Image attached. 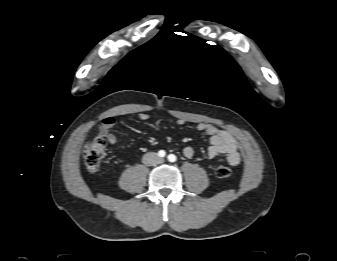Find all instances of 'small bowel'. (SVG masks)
Masks as SVG:
<instances>
[{"label":"small bowel","instance_id":"c3829d8e","mask_svg":"<svg viewBox=\"0 0 337 261\" xmlns=\"http://www.w3.org/2000/svg\"><path fill=\"white\" fill-rule=\"evenodd\" d=\"M138 118L141 121H147L149 120L150 116L147 113H140L138 114ZM177 123L179 125H183L185 121L179 119ZM114 124V117L108 116L102 120L98 128L99 136L106 139L112 145H115L118 141L116 135L111 132ZM196 128L198 131L204 133L209 138V147L207 150L209 158L215 159L219 155H225L226 161L230 165L236 166L240 163L241 158L238 151V144L236 139L230 132L224 129L217 128L209 123H198ZM183 154L187 158L193 157V147H184Z\"/></svg>","mask_w":337,"mask_h":261}]
</instances>
